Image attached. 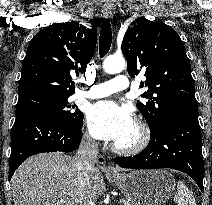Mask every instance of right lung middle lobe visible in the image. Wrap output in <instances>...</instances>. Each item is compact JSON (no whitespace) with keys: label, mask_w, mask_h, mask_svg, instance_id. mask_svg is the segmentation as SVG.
<instances>
[{"label":"right lung middle lobe","mask_w":212,"mask_h":205,"mask_svg":"<svg viewBox=\"0 0 212 205\" xmlns=\"http://www.w3.org/2000/svg\"><path fill=\"white\" fill-rule=\"evenodd\" d=\"M70 95L52 93H33L20 97L17 103L16 116L29 112H45L61 118L71 125L83 122V113L75 105L68 104ZM76 107V110L73 111Z\"/></svg>","instance_id":"right-lung-middle-lobe-1"}]
</instances>
